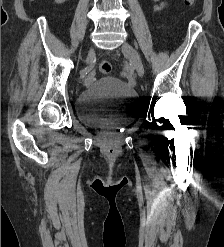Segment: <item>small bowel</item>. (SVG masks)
Masks as SVG:
<instances>
[{"label": "small bowel", "instance_id": "small-bowel-1", "mask_svg": "<svg viewBox=\"0 0 224 247\" xmlns=\"http://www.w3.org/2000/svg\"><path fill=\"white\" fill-rule=\"evenodd\" d=\"M164 6H165L164 3L159 4V5H157V6L154 7V11H159V10H161L162 8H164Z\"/></svg>", "mask_w": 224, "mask_h": 247}]
</instances>
